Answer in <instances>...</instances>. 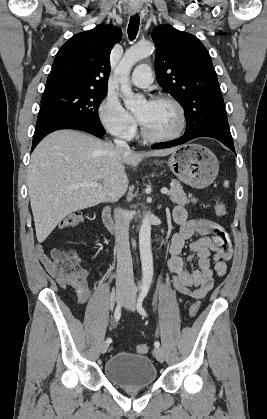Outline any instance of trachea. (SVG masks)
<instances>
[{"instance_id":"1","label":"trachea","mask_w":267,"mask_h":419,"mask_svg":"<svg viewBox=\"0 0 267 419\" xmlns=\"http://www.w3.org/2000/svg\"><path fill=\"white\" fill-rule=\"evenodd\" d=\"M140 18L138 14L133 15L130 18L129 25H128V36L129 39L132 41L136 38L138 30H139Z\"/></svg>"}]
</instances>
